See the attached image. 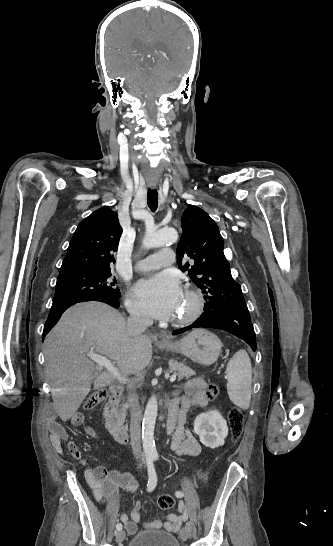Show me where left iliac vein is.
Returning a JSON list of instances; mask_svg holds the SVG:
<instances>
[{"instance_id": "obj_1", "label": "left iliac vein", "mask_w": 333, "mask_h": 546, "mask_svg": "<svg viewBox=\"0 0 333 546\" xmlns=\"http://www.w3.org/2000/svg\"><path fill=\"white\" fill-rule=\"evenodd\" d=\"M191 527L189 524H186L180 532L181 539L186 541L190 537Z\"/></svg>"}]
</instances>
